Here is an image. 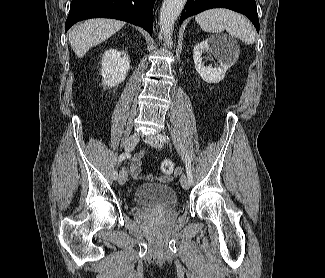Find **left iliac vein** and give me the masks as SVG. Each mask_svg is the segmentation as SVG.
I'll list each match as a JSON object with an SVG mask.
<instances>
[{
	"mask_svg": "<svg viewBox=\"0 0 325 278\" xmlns=\"http://www.w3.org/2000/svg\"><path fill=\"white\" fill-rule=\"evenodd\" d=\"M146 142L149 145H151V146H153L155 148H158V149L163 147V144L159 141L158 136H154V135L148 136L146 138ZM180 184L183 187V189H185V190H188L190 188V184H189V181H188V178H187L186 175L183 174L180 177Z\"/></svg>",
	"mask_w": 325,
	"mask_h": 278,
	"instance_id": "obj_1",
	"label": "left iliac vein"
}]
</instances>
